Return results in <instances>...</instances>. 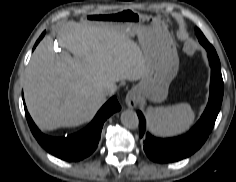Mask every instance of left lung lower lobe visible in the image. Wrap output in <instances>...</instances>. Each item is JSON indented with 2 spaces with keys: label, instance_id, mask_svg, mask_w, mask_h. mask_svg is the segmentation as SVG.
<instances>
[{
  "label": "left lung lower lobe",
  "instance_id": "left-lung-lower-lobe-1",
  "mask_svg": "<svg viewBox=\"0 0 236 182\" xmlns=\"http://www.w3.org/2000/svg\"><path fill=\"white\" fill-rule=\"evenodd\" d=\"M223 92L221 68L211 66L209 101L200 120L187 134L177 138L159 139L147 133L144 140L146 155L155 162L167 163L179 161L196 152L204 144L214 126L221 107ZM137 114L142 137L146 129L145 119L140 111Z\"/></svg>",
  "mask_w": 236,
  "mask_h": 182
}]
</instances>
